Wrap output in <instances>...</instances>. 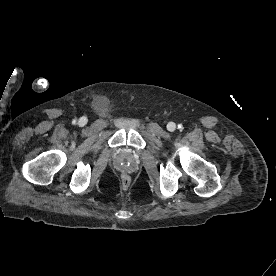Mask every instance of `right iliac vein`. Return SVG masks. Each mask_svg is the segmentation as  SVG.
Masks as SVG:
<instances>
[{
  "label": "right iliac vein",
  "mask_w": 276,
  "mask_h": 276,
  "mask_svg": "<svg viewBox=\"0 0 276 276\" xmlns=\"http://www.w3.org/2000/svg\"><path fill=\"white\" fill-rule=\"evenodd\" d=\"M87 123L86 118H80L79 119V125H85Z\"/></svg>",
  "instance_id": "obj_1"
}]
</instances>
